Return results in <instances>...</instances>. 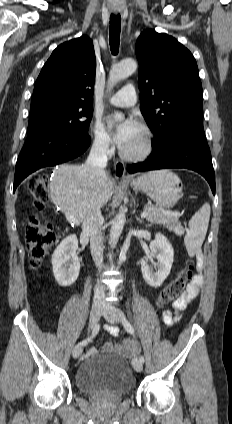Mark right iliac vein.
<instances>
[{"label": "right iliac vein", "mask_w": 232, "mask_h": 424, "mask_svg": "<svg viewBox=\"0 0 232 424\" xmlns=\"http://www.w3.org/2000/svg\"><path fill=\"white\" fill-rule=\"evenodd\" d=\"M103 307L101 304H94L91 308L90 312V326L93 327L100 319ZM83 351V347L80 345H76L73 348L72 356L74 358H78Z\"/></svg>", "instance_id": "right-iliac-vein-1"}]
</instances>
